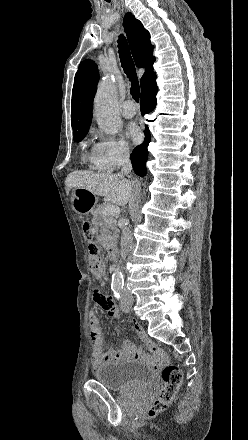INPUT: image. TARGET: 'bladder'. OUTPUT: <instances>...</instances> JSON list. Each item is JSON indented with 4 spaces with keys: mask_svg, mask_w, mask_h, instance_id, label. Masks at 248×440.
<instances>
[{
    "mask_svg": "<svg viewBox=\"0 0 248 440\" xmlns=\"http://www.w3.org/2000/svg\"><path fill=\"white\" fill-rule=\"evenodd\" d=\"M155 373L148 365L134 359H122L99 366L94 379L109 390H145L154 381Z\"/></svg>",
    "mask_w": 248,
    "mask_h": 440,
    "instance_id": "1",
    "label": "bladder"
}]
</instances>
